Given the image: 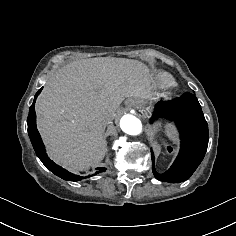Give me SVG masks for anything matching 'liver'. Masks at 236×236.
<instances>
[{"label":"liver","mask_w":236,"mask_h":236,"mask_svg":"<svg viewBox=\"0 0 236 236\" xmlns=\"http://www.w3.org/2000/svg\"><path fill=\"white\" fill-rule=\"evenodd\" d=\"M151 82L144 63L125 58L82 59L60 68L36 102L37 127L49 156L72 172L101 162L106 125L125 98H150Z\"/></svg>","instance_id":"obj_1"}]
</instances>
